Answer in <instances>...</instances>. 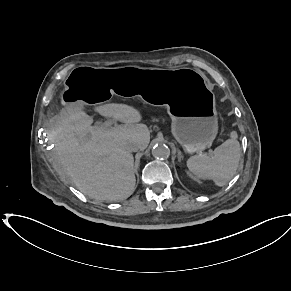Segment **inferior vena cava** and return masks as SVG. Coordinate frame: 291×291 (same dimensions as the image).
<instances>
[{"instance_id":"602c4592","label":"inferior vena cava","mask_w":291,"mask_h":291,"mask_svg":"<svg viewBox=\"0 0 291 291\" xmlns=\"http://www.w3.org/2000/svg\"><path fill=\"white\" fill-rule=\"evenodd\" d=\"M127 150L129 152H137L139 150V146L135 143L128 145Z\"/></svg>"}]
</instances>
